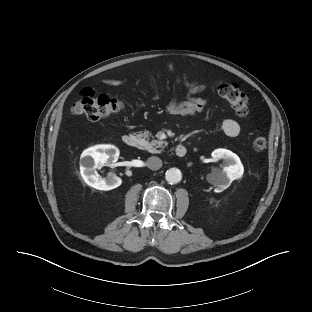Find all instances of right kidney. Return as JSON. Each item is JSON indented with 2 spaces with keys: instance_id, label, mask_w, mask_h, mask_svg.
Listing matches in <instances>:
<instances>
[{
  "instance_id": "1",
  "label": "right kidney",
  "mask_w": 312,
  "mask_h": 312,
  "mask_svg": "<svg viewBox=\"0 0 312 312\" xmlns=\"http://www.w3.org/2000/svg\"><path fill=\"white\" fill-rule=\"evenodd\" d=\"M119 150L113 145H97L86 149L80 157V173L87 185L108 191L121 185L120 177L113 173L102 179L96 168L115 163L118 160Z\"/></svg>"
}]
</instances>
